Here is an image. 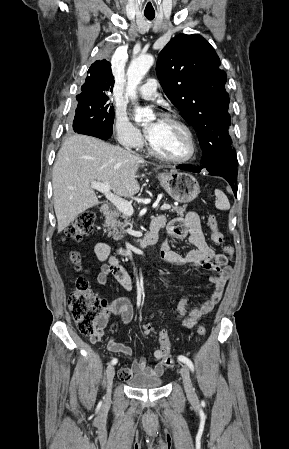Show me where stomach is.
I'll return each mask as SVG.
<instances>
[{
  "label": "stomach",
  "mask_w": 289,
  "mask_h": 449,
  "mask_svg": "<svg viewBox=\"0 0 289 449\" xmlns=\"http://www.w3.org/2000/svg\"><path fill=\"white\" fill-rule=\"evenodd\" d=\"M164 190L176 201L189 203L200 193L197 180L189 173L170 171L158 175Z\"/></svg>",
  "instance_id": "obj_1"
}]
</instances>
